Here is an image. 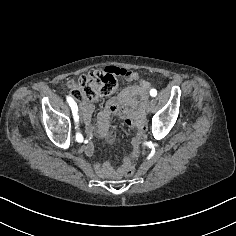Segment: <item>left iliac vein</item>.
I'll use <instances>...</instances> for the list:
<instances>
[{
    "label": "left iliac vein",
    "instance_id": "1",
    "mask_svg": "<svg viewBox=\"0 0 236 236\" xmlns=\"http://www.w3.org/2000/svg\"><path fill=\"white\" fill-rule=\"evenodd\" d=\"M156 105H157V102H156L155 100H152V101H151L150 108H151V109H154Z\"/></svg>",
    "mask_w": 236,
    "mask_h": 236
}]
</instances>
